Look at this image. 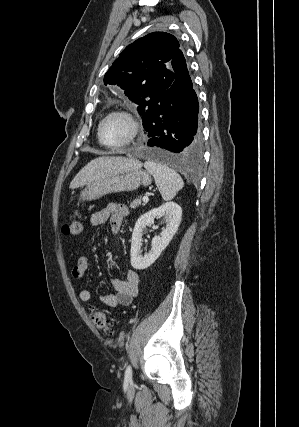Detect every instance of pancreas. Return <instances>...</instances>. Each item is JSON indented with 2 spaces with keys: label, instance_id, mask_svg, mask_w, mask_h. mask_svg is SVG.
<instances>
[{
  "label": "pancreas",
  "instance_id": "1",
  "mask_svg": "<svg viewBox=\"0 0 299 427\" xmlns=\"http://www.w3.org/2000/svg\"><path fill=\"white\" fill-rule=\"evenodd\" d=\"M145 203H142L141 197L136 198L135 200H133V202L130 204L131 208H137L141 205H144Z\"/></svg>",
  "mask_w": 299,
  "mask_h": 427
}]
</instances>
